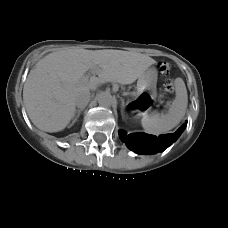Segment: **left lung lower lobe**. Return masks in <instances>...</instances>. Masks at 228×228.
Wrapping results in <instances>:
<instances>
[{
    "instance_id": "obj_1",
    "label": "left lung lower lobe",
    "mask_w": 228,
    "mask_h": 228,
    "mask_svg": "<svg viewBox=\"0 0 228 228\" xmlns=\"http://www.w3.org/2000/svg\"><path fill=\"white\" fill-rule=\"evenodd\" d=\"M187 122H185L174 134L160 135L159 137L149 136L145 133H135L126 135L119 131V136L127 147L138 154H152L164 151L169 147L183 132Z\"/></svg>"
}]
</instances>
